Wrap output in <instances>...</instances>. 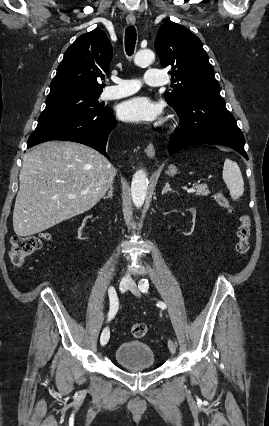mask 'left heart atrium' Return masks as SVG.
Returning a JSON list of instances; mask_svg holds the SVG:
<instances>
[{
    "label": "left heart atrium",
    "instance_id": "1",
    "mask_svg": "<svg viewBox=\"0 0 269 426\" xmlns=\"http://www.w3.org/2000/svg\"><path fill=\"white\" fill-rule=\"evenodd\" d=\"M161 106L153 103L149 98L140 96L121 103L118 115L122 120L134 123H151L161 114Z\"/></svg>",
    "mask_w": 269,
    "mask_h": 426
}]
</instances>
